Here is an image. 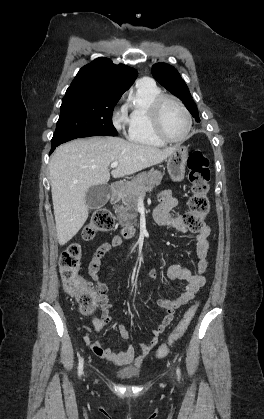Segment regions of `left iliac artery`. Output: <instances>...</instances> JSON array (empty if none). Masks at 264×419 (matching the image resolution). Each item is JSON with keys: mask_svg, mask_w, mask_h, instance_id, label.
Listing matches in <instances>:
<instances>
[{"mask_svg": "<svg viewBox=\"0 0 264 419\" xmlns=\"http://www.w3.org/2000/svg\"><path fill=\"white\" fill-rule=\"evenodd\" d=\"M177 376H178V378H180V375H181V372H180V369L179 368H177Z\"/></svg>", "mask_w": 264, "mask_h": 419, "instance_id": "44dca946", "label": "left iliac artery"}]
</instances>
